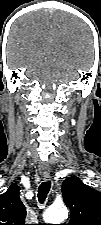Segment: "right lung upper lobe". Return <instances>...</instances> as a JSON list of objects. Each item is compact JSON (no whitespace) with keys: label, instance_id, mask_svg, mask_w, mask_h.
<instances>
[{"label":"right lung upper lobe","instance_id":"cb5924a9","mask_svg":"<svg viewBox=\"0 0 101 225\" xmlns=\"http://www.w3.org/2000/svg\"><path fill=\"white\" fill-rule=\"evenodd\" d=\"M19 186L11 184L0 195V225H25L26 208L19 197Z\"/></svg>","mask_w":101,"mask_h":225}]
</instances>
